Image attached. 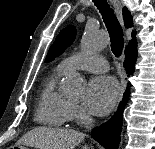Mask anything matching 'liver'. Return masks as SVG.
<instances>
[{
  "label": "liver",
  "mask_w": 155,
  "mask_h": 149,
  "mask_svg": "<svg viewBox=\"0 0 155 149\" xmlns=\"http://www.w3.org/2000/svg\"><path fill=\"white\" fill-rule=\"evenodd\" d=\"M85 135L72 129L37 127L23 135L16 146L27 145L37 149H74ZM83 149H89L87 145Z\"/></svg>",
  "instance_id": "obj_1"
}]
</instances>
